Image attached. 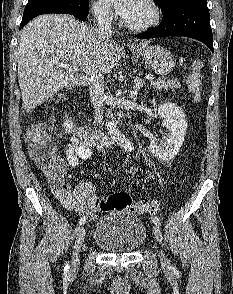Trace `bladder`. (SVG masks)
I'll return each mask as SVG.
<instances>
[{
	"instance_id": "obj_1",
	"label": "bladder",
	"mask_w": 233,
	"mask_h": 294,
	"mask_svg": "<svg viewBox=\"0 0 233 294\" xmlns=\"http://www.w3.org/2000/svg\"><path fill=\"white\" fill-rule=\"evenodd\" d=\"M146 239L143 221L124 209L107 211L96 223L93 241L100 248L115 253L133 252Z\"/></svg>"
}]
</instances>
